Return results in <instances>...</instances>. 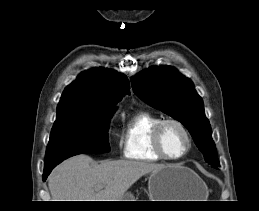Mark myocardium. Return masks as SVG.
<instances>
[{
	"instance_id": "obj_1",
	"label": "myocardium",
	"mask_w": 259,
	"mask_h": 211,
	"mask_svg": "<svg viewBox=\"0 0 259 211\" xmlns=\"http://www.w3.org/2000/svg\"><path fill=\"white\" fill-rule=\"evenodd\" d=\"M169 124L176 125L178 128H180V130L183 132V134L185 135L186 140H187V146H186L185 150L178 156L168 155L163 147L162 132H163L164 128ZM152 140H153V147H154L155 151L163 159L170 160V161H177V160L184 158L191 151L192 145H193V138L191 136V133L180 120L175 119V118L162 119L155 126V128L153 130Z\"/></svg>"
}]
</instances>
